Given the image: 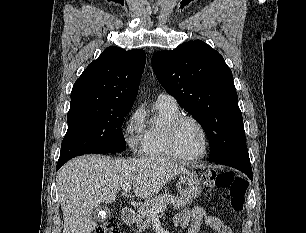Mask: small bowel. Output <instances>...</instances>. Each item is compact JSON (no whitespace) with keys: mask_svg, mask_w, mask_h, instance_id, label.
<instances>
[{"mask_svg":"<svg viewBox=\"0 0 306 233\" xmlns=\"http://www.w3.org/2000/svg\"><path fill=\"white\" fill-rule=\"evenodd\" d=\"M202 222L218 233H234L230 226L219 218L207 214L202 207L184 209L174 218L175 226L181 228L184 233H199Z\"/></svg>","mask_w":306,"mask_h":233,"instance_id":"1","label":"small bowel"}]
</instances>
